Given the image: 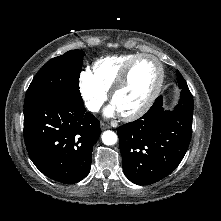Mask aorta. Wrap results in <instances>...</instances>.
Instances as JSON below:
<instances>
[{
    "label": "aorta",
    "instance_id": "1",
    "mask_svg": "<svg viewBox=\"0 0 221 221\" xmlns=\"http://www.w3.org/2000/svg\"><path fill=\"white\" fill-rule=\"evenodd\" d=\"M101 138H102V142L108 146L114 145L117 142L116 133L110 130L104 131Z\"/></svg>",
    "mask_w": 221,
    "mask_h": 221
}]
</instances>
